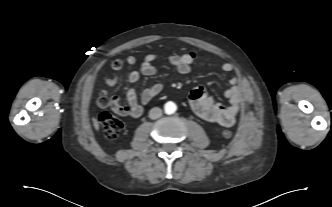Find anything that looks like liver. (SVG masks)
<instances>
[{
	"label": "liver",
	"mask_w": 332,
	"mask_h": 207,
	"mask_svg": "<svg viewBox=\"0 0 332 207\" xmlns=\"http://www.w3.org/2000/svg\"><path fill=\"white\" fill-rule=\"evenodd\" d=\"M92 121H93V126L95 128L96 131H99V122L96 118H92Z\"/></svg>",
	"instance_id": "liver-1"
}]
</instances>
